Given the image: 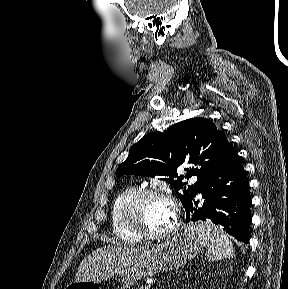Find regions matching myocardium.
<instances>
[{"instance_id":"1","label":"myocardium","mask_w":288,"mask_h":289,"mask_svg":"<svg viewBox=\"0 0 288 289\" xmlns=\"http://www.w3.org/2000/svg\"><path fill=\"white\" fill-rule=\"evenodd\" d=\"M153 197L166 200L173 208L174 217L171 226L160 232H149L143 229L138 219V210L141 203L145 199ZM180 214L181 210L177 200L168 192L154 188H143L138 190V192L126 203L123 210L124 223L127 229L141 240H158L170 237L179 227Z\"/></svg>"}]
</instances>
